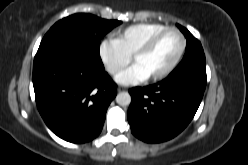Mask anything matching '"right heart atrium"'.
<instances>
[{"label": "right heart atrium", "mask_w": 248, "mask_h": 165, "mask_svg": "<svg viewBox=\"0 0 248 165\" xmlns=\"http://www.w3.org/2000/svg\"><path fill=\"white\" fill-rule=\"evenodd\" d=\"M98 53L106 71L112 76L121 73L131 61V57L114 38L103 40L99 45Z\"/></svg>", "instance_id": "d8ad5b80"}]
</instances>
